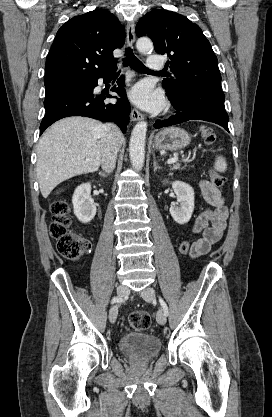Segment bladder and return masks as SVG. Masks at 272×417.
Returning <instances> with one entry per match:
<instances>
[{"mask_svg":"<svg viewBox=\"0 0 272 417\" xmlns=\"http://www.w3.org/2000/svg\"><path fill=\"white\" fill-rule=\"evenodd\" d=\"M118 346L125 357L136 362H147L158 355L162 344L156 336L131 332L120 338Z\"/></svg>","mask_w":272,"mask_h":417,"instance_id":"bladder-1","label":"bladder"}]
</instances>
